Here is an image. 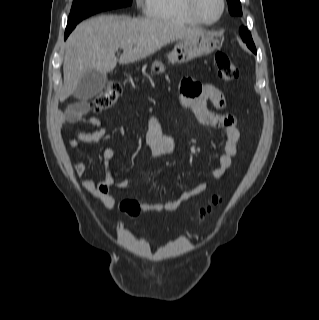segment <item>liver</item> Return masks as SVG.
<instances>
[{"mask_svg":"<svg viewBox=\"0 0 319 320\" xmlns=\"http://www.w3.org/2000/svg\"><path fill=\"white\" fill-rule=\"evenodd\" d=\"M204 33L161 19H132L102 15L80 23L65 44L64 84L59 99L65 101L76 90L86 72L112 71L117 62L129 64L144 59L165 45ZM123 49L119 60L115 52Z\"/></svg>","mask_w":319,"mask_h":320,"instance_id":"6515ba94","label":"liver"}]
</instances>
